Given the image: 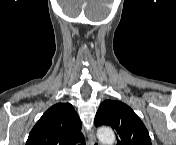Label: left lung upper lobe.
Wrapping results in <instances>:
<instances>
[{"instance_id":"left-lung-upper-lobe-1","label":"left lung upper lobe","mask_w":176,"mask_h":145,"mask_svg":"<svg viewBox=\"0 0 176 145\" xmlns=\"http://www.w3.org/2000/svg\"><path fill=\"white\" fill-rule=\"evenodd\" d=\"M94 123L96 126H111L116 131L117 145H152L141 119L121 101H104L97 111Z\"/></svg>"}]
</instances>
